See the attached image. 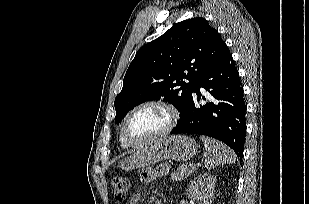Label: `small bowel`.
Returning a JSON list of instances; mask_svg holds the SVG:
<instances>
[{"label": "small bowel", "mask_w": 309, "mask_h": 204, "mask_svg": "<svg viewBox=\"0 0 309 204\" xmlns=\"http://www.w3.org/2000/svg\"><path fill=\"white\" fill-rule=\"evenodd\" d=\"M167 170V166H161L158 168H148L145 169L142 173H141V180L144 183H148L150 181H152V179L157 176L158 174H161L163 172H165ZM140 200V196L138 194H135L131 197L129 204H138Z\"/></svg>", "instance_id": "obj_1"}]
</instances>
